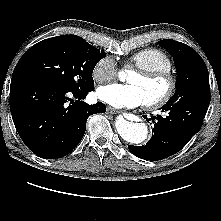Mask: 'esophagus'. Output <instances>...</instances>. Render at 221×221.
<instances>
[{
    "label": "esophagus",
    "mask_w": 221,
    "mask_h": 221,
    "mask_svg": "<svg viewBox=\"0 0 221 221\" xmlns=\"http://www.w3.org/2000/svg\"><path fill=\"white\" fill-rule=\"evenodd\" d=\"M107 112L110 113V114L123 113L122 110H116V109H114L112 107H108Z\"/></svg>",
    "instance_id": "34e87169"
}]
</instances>
